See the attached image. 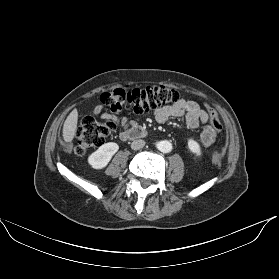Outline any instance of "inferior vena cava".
Returning <instances> with one entry per match:
<instances>
[{"label":"inferior vena cava","mask_w":279,"mask_h":279,"mask_svg":"<svg viewBox=\"0 0 279 279\" xmlns=\"http://www.w3.org/2000/svg\"><path fill=\"white\" fill-rule=\"evenodd\" d=\"M145 146V141L144 140H135L131 143V148L133 150H139Z\"/></svg>","instance_id":"1"}]
</instances>
